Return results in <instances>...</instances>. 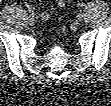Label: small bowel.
Wrapping results in <instances>:
<instances>
[{
    "instance_id": "1",
    "label": "small bowel",
    "mask_w": 111,
    "mask_h": 106,
    "mask_svg": "<svg viewBox=\"0 0 111 106\" xmlns=\"http://www.w3.org/2000/svg\"><path fill=\"white\" fill-rule=\"evenodd\" d=\"M57 5L60 8H63L66 5V1L65 0H59L57 1ZM51 17V13L49 11H43L41 13V18L43 20H48Z\"/></svg>"
}]
</instances>
